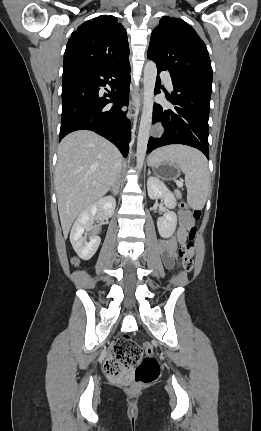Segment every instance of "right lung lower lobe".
Instances as JSON below:
<instances>
[{"label":"right lung lower lobe","instance_id":"obj_1","mask_svg":"<svg viewBox=\"0 0 261 431\" xmlns=\"http://www.w3.org/2000/svg\"><path fill=\"white\" fill-rule=\"evenodd\" d=\"M111 91L101 96V87ZM129 61L116 66H78L64 69L62 121L59 141L76 130H91L115 144L126 157L130 121L123 106L129 103ZM109 98V99H107ZM114 102L112 107L108 103Z\"/></svg>","mask_w":261,"mask_h":431}]
</instances>
